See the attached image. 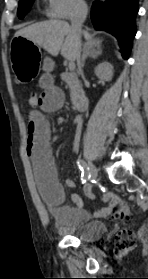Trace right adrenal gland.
I'll use <instances>...</instances> for the list:
<instances>
[{"instance_id":"obj_1","label":"right adrenal gland","mask_w":148,"mask_h":279,"mask_svg":"<svg viewBox=\"0 0 148 279\" xmlns=\"http://www.w3.org/2000/svg\"><path fill=\"white\" fill-rule=\"evenodd\" d=\"M102 54V49L100 45H84L81 68L85 65V60L90 57L92 59H97Z\"/></svg>"}]
</instances>
